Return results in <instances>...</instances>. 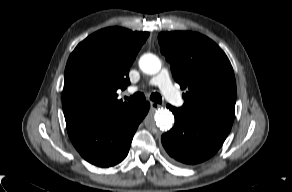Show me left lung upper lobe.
<instances>
[{
    "label": "left lung upper lobe",
    "instance_id": "obj_1",
    "mask_svg": "<svg viewBox=\"0 0 292 192\" xmlns=\"http://www.w3.org/2000/svg\"><path fill=\"white\" fill-rule=\"evenodd\" d=\"M162 54L182 89L184 104L175 108L187 120L231 127L236 102V82L226 54L209 38L194 32H162Z\"/></svg>",
    "mask_w": 292,
    "mask_h": 192
}]
</instances>
